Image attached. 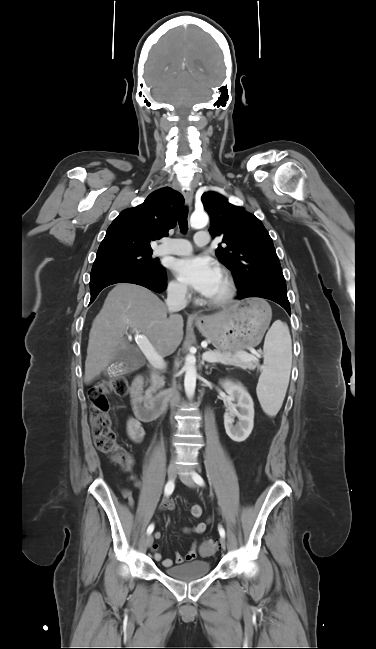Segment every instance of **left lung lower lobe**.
<instances>
[{
    "label": "left lung lower lobe",
    "mask_w": 376,
    "mask_h": 649,
    "mask_svg": "<svg viewBox=\"0 0 376 649\" xmlns=\"http://www.w3.org/2000/svg\"><path fill=\"white\" fill-rule=\"evenodd\" d=\"M248 297H260L272 300L281 305L290 315V304L287 298V293L281 292L266 284H258L256 288L249 290L245 293H240L236 299H243Z\"/></svg>",
    "instance_id": "1"
}]
</instances>
